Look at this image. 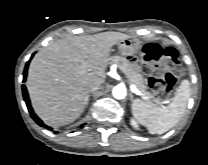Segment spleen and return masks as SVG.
I'll list each match as a JSON object with an SVG mask.
<instances>
[{
  "mask_svg": "<svg viewBox=\"0 0 208 165\" xmlns=\"http://www.w3.org/2000/svg\"><path fill=\"white\" fill-rule=\"evenodd\" d=\"M191 95L190 83L183 80L168 106L154 105L135 99L132 114L151 134H163L173 128L183 116Z\"/></svg>",
  "mask_w": 208,
  "mask_h": 165,
  "instance_id": "3e777b00",
  "label": "spleen"
}]
</instances>
